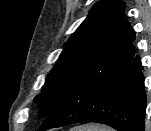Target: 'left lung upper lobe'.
Masks as SVG:
<instances>
[{"mask_svg":"<svg viewBox=\"0 0 151 131\" xmlns=\"http://www.w3.org/2000/svg\"><path fill=\"white\" fill-rule=\"evenodd\" d=\"M125 3L101 0L90 10L72 37L64 44L58 62L46 77L34 101L39 116L47 118L60 105L70 88L93 68L110 69L131 61L135 32L124 17Z\"/></svg>","mask_w":151,"mask_h":131,"instance_id":"5c2ea615","label":"left lung upper lobe"}]
</instances>
